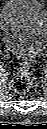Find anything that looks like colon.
Returning a JSON list of instances; mask_svg holds the SVG:
<instances>
[{"instance_id": "1", "label": "colon", "mask_w": 47, "mask_h": 129, "mask_svg": "<svg viewBox=\"0 0 47 129\" xmlns=\"http://www.w3.org/2000/svg\"><path fill=\"white\" fill-rule=\"evenodd\" d=\"M33 84L29 64L26 63L12 80V87L16 92H28Z\"/></svg>"}]
</instances>
